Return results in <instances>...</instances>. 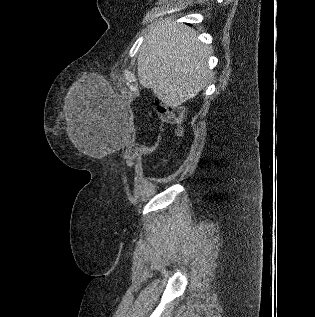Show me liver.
<instances>
[{"instance_id": "1", "label": "liver", "mask_w": 315, "mask_h": 317, "mask_svg": "<svg viewBox=\"0 0 315 317\" xmlns=\"http://www.w3.org/2000/svg\"><path fill=\"white\" fill-rule=\"evenodd\" d=\"M211 51L197 41L195 31L189 26L171 21L154 24L139 50L140 84L151 88L166 106L179 107L206 85L210 77L207 60ZM66 123L75 147L88 154V139L84 137V123L76 103L68 108Z\"/></svg>"}]
</instances>
